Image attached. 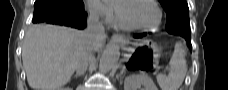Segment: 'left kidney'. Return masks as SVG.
<instances>
[{"label": "left kidney", "mask_w": 228, "mask_h": 90, "mask_svg": "<svg viewBox=\"0 0 228 90\" xmlns=\"http://www.w3.org/2000/svg\"><path fill=\"white\" fill-rule=\"evenodd\" d=\"M141 85L144 86V90H158L151 78L146 75L128 76L124 81V90H138Z\"/></svg>", "instance_id": "1"}]
</instances>
